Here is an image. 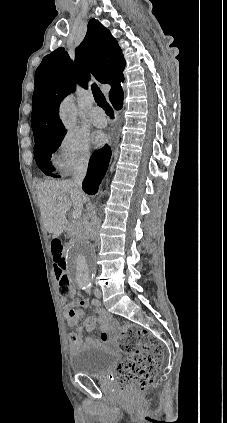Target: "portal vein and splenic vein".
Masks as SVG:
<instances>
[{"mask_svg":"<svg viewBox=\"0 0 227 423\" xmlns=\"http://www.w3.org/2000/svg\"><path fill=\"white\" fill-rule=\"evenodd\" d=\"M72 217H74V219H78V217H81L80 211L73 210Z\"/></svg>","mask_w":227,"mask_h":423,"instance_id":"1","label":"portal vein and splenic vein"}]
</instances>
